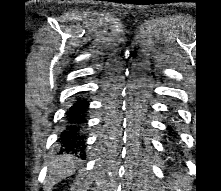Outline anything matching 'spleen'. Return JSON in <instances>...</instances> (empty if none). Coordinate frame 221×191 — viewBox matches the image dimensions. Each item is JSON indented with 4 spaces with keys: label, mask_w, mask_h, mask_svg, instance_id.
I'll return each mask as SVG.
<instances>
[{
    "label": "spleen",
    "mask_w": 221,
    "mask_h": 191,
    "mask_svg": "<svg viewBox=\"0 0 221 191\" xmlns=\"http://www.w3.org/2000/svg\"><path fill=\"white\" fill-rule=\"evenodd\" d=\"M175 184H178V181H175Z\"/></svg>",
    "instance_id": "3e777b00"
}]
</instances>
